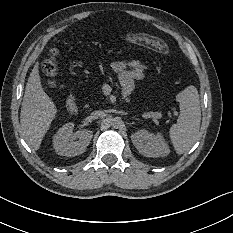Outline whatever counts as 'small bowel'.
Returning <instances> with one entry per match:
<instances>
[{
	"mask_svg": "<svg viewBox=\"0 0 233 233\" xmlns=\"http://www.w3.org/2000/svg\"><path fill=\"white\" fill-rule=\"evenodd\" d=\"M112 70L118 74L122 95L128 97L135 88V82L145 77L146 66L139 60H115L111 63Z\"/></svg>",
	"mask_w": 233,
	"mask_h": 233,
	"instance_id": "1",
	"label": "small bowel"
}]
</instances>
